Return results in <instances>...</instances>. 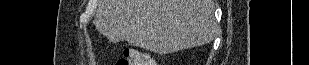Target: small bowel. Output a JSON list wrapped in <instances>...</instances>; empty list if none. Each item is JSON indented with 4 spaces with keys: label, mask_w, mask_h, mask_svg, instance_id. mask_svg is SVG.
<instances>
[{
    "label": "small bowel",
    "mask_w": 309,
    "mask_h": 65,
    "mask_svg": "<svg viewBox=\"0 0 309 65\" xmlns=\"http://www.w3.org/2000/svg\"><path fill=\"white\" fill-rule=\"evenodd\" d=\"M145 63H153V61L151 59H149L148 61H146Z\"/></svg>",
    "instance_id": "c3829d8e"
}]
</instances>
